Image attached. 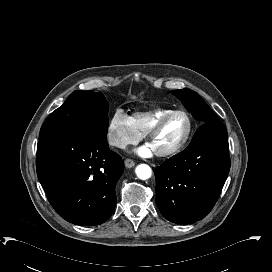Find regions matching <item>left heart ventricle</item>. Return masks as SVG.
<instances>
[{
  "label": "left heart ventricle",
  "instance_id": "1",
  "mask_svg": "<svg viewBox=\"0 0 272 272\" xmlns=\"http://www.w3.org/2000/svg\"><path fill=\"white\" fill-rule=\"evenodd\" d=\"M186 130V119L181 115L174 116L149 140V145L154 152L170 150L183 140Z\"/></svg>",
  "mask_w": 272,
  "mask_h": 272
}]
</instances>
